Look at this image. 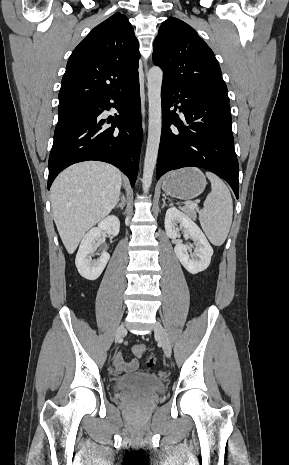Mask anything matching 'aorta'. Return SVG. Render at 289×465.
Wrapping results in <instances>:
<instances>
[{
    "instance_id": "1",
    "label": "aorta",
    "mask_w": 289,
    "mask_h": 465,
    "mask_svg": "<svg viewBox=\"0 0 289 465\" xmlns=\"http://www.w3.org/2000/svg\"><path fill=\"white\" fill-rule=\"evenodd\" d=\"M148 102H149V125L148 139L143 168V190L149 191L152 183L153 172L155 169L158 149L161 137V86L163 80V71L158 66L150 68L148 75Z\"/></svg>"
}]
</instances>
